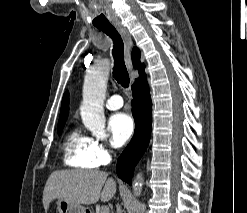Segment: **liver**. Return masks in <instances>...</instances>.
Returning <instances> with one entry per match:
<instances>
[{
    "label": "liver",
    "mask_w": 247,
    "mask_h": 213,
    "mask_svg": "<svg viewBox=\"0 0 247 213\" xmlns=\"http://www.w3.org/2000/svg\"><path fill=\"white\" fill-rule=\"evenodd\" d=\"M99 170H61L49 176L43 191V205L48 210L54 199L90 205L99 199L107 202L116 193V182Z\"/></svg>",
    "instance_id": "obj_1"
}]
</instances>
